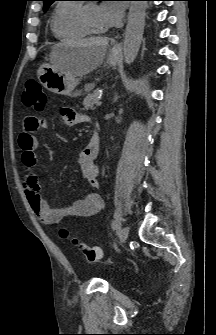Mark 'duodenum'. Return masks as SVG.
I'll return each instance as SVG.
<instances>
[{"mask_svg":"<svg viewBox=\"0 0 216 335\" xmlns=\"http://www.w3.org/2000/svg\"><path fill=\"white\" fill-rule=\"evenodd\" d=\"M96 138H98L97 134H94Z\"/></svg>","mask_w":216,"mask_h":335,"instance_id":"1","label":"duodenum"}]
</instances>
